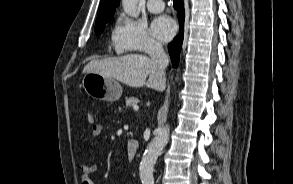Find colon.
Segmentation results:
<instances>
[{"mask_svg": "<svg viewBox=\"0 0 293 184\" xmlns=\"http://www.w3.org/2000/svg\"><path fill=\"white\" fill-rule=\"evenodd\" d=\"M87 121H88L89 124H94L95 123V117H94V115L92 113H89L87 115Z\"/></svg>", "mask_w": 293, "mask_h": 184, "instance_id": "colon-1", "label": "colon"}]
</instances>
